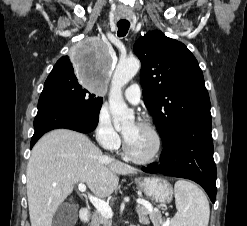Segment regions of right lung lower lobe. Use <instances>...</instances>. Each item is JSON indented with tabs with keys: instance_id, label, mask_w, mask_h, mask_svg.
I'll use <instances>...</instances> for the list:
<instances>
[{
	"instance_id": "98d812e1",
	"label": "right lung lower lobe",
	"mask_w": 247,
	"mask_h": 226,
	"mask_svg": "<svg viewBox=\"0 0 247 226\" xmlns=\"http://www.w3.org/2000/svg\"><path fill=\"white\" fill-rule=\"evenodd\" d=\"M98 121L99 115L87 112L55 93L42 92L30 148L44 133L52 129L66 128L89 133L96 128Z\"/></svg>"
}]
</instances>
